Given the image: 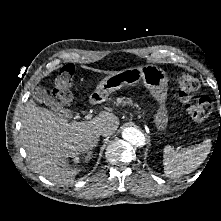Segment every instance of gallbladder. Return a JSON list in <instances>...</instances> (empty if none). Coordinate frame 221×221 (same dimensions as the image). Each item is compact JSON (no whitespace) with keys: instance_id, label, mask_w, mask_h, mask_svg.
<instances>
[{"instance_id":"obj_1","label":"gallbladder","mask_w":221,"mask_h":221,"mask_svg":"<svg viewBox=\"0 0 221 221\" xmlns=\"http://www.w3.org/2000/svg\"><path fill=\"white\" fill-rule=\"evenodd\" d=\"M33 98L40 104H45L51 110L58 113L62 117L68 119L72 117L71 111L65 109L57 100L48 95L46 89L42 86H37L32 90Z\"/></svg>"}]
</instances>
